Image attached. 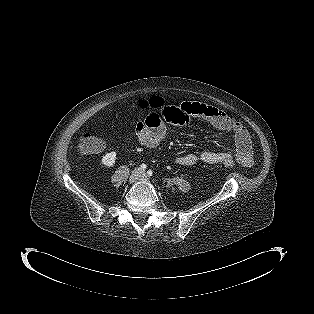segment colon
<instances>
[{"mask_svg": "<svg viewBox=\"0 0 314 314\" xmlns=\"http://www.w3.org/2000/svg\"><path fill=\"white\" fill-rule=\"evenodd\" d=\"M166 102L159 96H152L149 99L141 100L139 107L142 109L151 108L159 110V108L165 105ZM181 105V104H180ZM154 113H150L148 116L149 121L152 120ZM178 125V124H177ZM180 125V124H179ZM102 147V141L99 136L92 130L84 131L79 139L78 150L82 154H93L98 152ZM222 164L226 167H234L235 161L232 157H224Z\"/></svg>", "mask_w": 314, "mask_h": 314, "instance_id": "1", "label": "colon"}]
</instances>
